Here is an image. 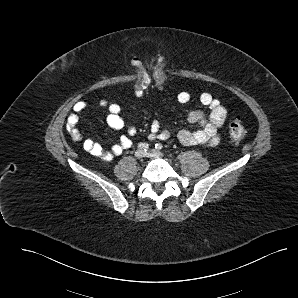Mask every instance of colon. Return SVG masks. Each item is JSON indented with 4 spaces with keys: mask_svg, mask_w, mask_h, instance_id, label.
Returning <instances> with one entry per match:
<instances>
[{
    "mask_svg": "<svg viewBox=\"0 0 298 298\" xmlns=\"http://www.w3.org/2000/svg\"><path fill=\"white\" fill-rule=\"evenodd\" d=\"M135 60V67L138 69V75L134 85L136 95H143L147 91L152 79L158 86H163L165 84L166 74L162 67L156 65L150 72L140 59ZM68 128L70 130V127ZM246 133V128L239 120H233L229 124V137L232 142L238 143L242 141L246 136Z\"/></svg>",
    "mask_w": 298,
    "mask_h": 298,
    "instance_id": "obj_1",
    "label": "colon"
}]
</instances>
